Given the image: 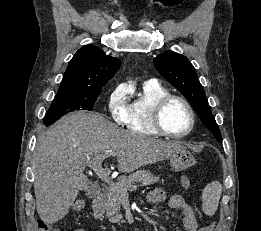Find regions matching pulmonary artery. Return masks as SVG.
Masks as SVG:
<instances>
[{
  "label": "pulmonary artery",
  "mask_w": 261,
  "mask_h": 231,
  "mask_svg": "<svg viewBox=\"0 0 261 231\" xmlns=\"http://www.w3.org/2000/svg\"><path fill=\"white\" fill-rule=\"evenodd\" d=\"M146 83H155V81L151 79V80H147Z\"/></svg>",
  "instance_id": "1"
}]
</instances>
